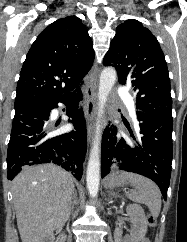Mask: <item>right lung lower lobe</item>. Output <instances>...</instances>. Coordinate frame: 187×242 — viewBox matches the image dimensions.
Returning a JSON list of instances; mask_svg holds the SVG:
<instances>
[{
  "label": "right lung lower lobe",
  "mask_w": 187,
  "mask_h": 242,
  "mask_svg": "<svg viewBox=\"0 0 187 242\" xmlns=\"http://www.w3.org/2000/svg\"><path fill=\"white\" fill-rule=\"evenodd\" d=\"M81 97L79 88L14 117L7 153L9 180L26 166L50 162L70 171L78 180L81 179L87 150L84 114L78 108ZM59 102L66 105V114L74 130L55 135L48 119L50 111L57 108Z\"/></svg>",
  "instance_id": "98d812e1"
}]
</instances>
